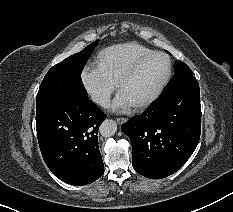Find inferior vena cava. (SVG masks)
<instances>
[{"mask_svg":"<svg viewBox=\"0 0 233 212\" xmlns=\"http://www.w3.org/2000/svg\"><path fill=\"white\" fill-rule=\"evenodd\" d=\"M94 100L102 106H107L110 102V97L106 94H98L94 97Z\"/></svg>","mask_w":233,"mask_h":212,"instance_id":"obj_1","label":"inferior vena cava"}]
</instances>
